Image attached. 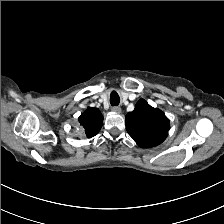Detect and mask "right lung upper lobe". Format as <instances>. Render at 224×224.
<instances>
[{
  "label": "right lung upper lobe",
  "mask_w": 224,
  "mask_h": 224,
  "mask_svg": "<svg viewBox=\"0 0 224 224\" xmlns=\"http://www.w3.org/2000/svg\"><path fill=\"white\" fill-rule=\"evenodd\" d=\"M88 138L95 136L102 127L103 116L97 108L88 107L78 118Z\"/></svg>",
  "instance_id": "1"
}]
</instances>
